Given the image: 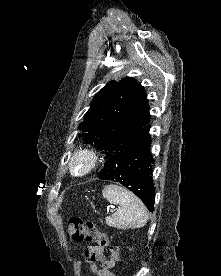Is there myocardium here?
<instances>
[{"label":"myocardium","instance_id":"1","mask_svg":"<svg viewBox=\"0 0 221 276\" xmlns=\"http://www.w3.org/2000/svg\"><path fill=\"white\" fill-rule=\"evenodd\" d=\"M98 153L91 148L76 149L69 160V169L75 176H86L90 174L98 165Z\"/></svg>","mask_w":221,"mask_h":276}]
</instances>
